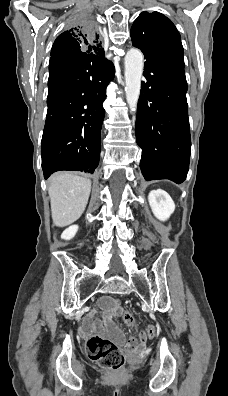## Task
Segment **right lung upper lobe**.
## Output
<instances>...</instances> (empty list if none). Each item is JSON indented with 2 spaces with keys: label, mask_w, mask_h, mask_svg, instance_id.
Masks as SVG:
<instances>
[{
  "label": "right lung upper lobe",
  "mask_w": 228,
  "mask_h": 396,
  "mask_svg": "<svg viewBox=\"0 0 228 396\" xmlns=\"http://www.w3.org/2000/svg\"><path fill=\"white\" fill-rule=\"evenodd\" d=\"M82 54L104 57L99 35L88 26L74 27L59 35L52 47L51 58H65Z\"/></svg>",
  "instance_id": "1"
}]
</instances>
